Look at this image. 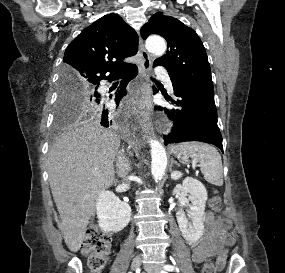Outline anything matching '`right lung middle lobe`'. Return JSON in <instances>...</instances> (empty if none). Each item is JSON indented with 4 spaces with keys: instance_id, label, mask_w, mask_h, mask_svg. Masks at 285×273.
I'll return each instance as SVG.
<instances>
[{
    "instance_id": "right-lung-middle-lobe-1",
    "label": "right lung middle lobe",
    "mask_w": 285,
    "mask_h": 273,
    "mask_svg": "<svg viewBox=\"0 0 285 273\" xmlns=\"http://www.w3.org/2000/svg\"><path fill=\"white\" fill-rule=\"evenodd\" d=\"M103 101L95 86L82 84L63 72L58 92L57 125L84 118L98 120Z\"/></svg>"
}]
</instances>
